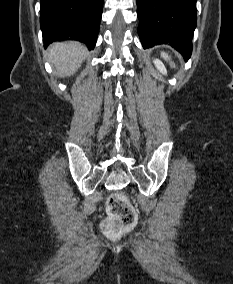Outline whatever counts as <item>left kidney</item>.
Here are the masks:
<instances>
[{"mask_svg": "<svg viewBox=\"0 0 233 284\" xmlns=\"http://www.w3.org/2000/svg\"><path fill=\"white\" fill-rule=\"evenodd\" d=\"M154 65L156 66L157 70L162 73V74H166V68L164 66V64L159 60V59H154L153 60Z\"/></svg>", "mask_w": 233, "mask_h": 284, "instance_id": "1", "label": "left kidney"}]
</instances>
